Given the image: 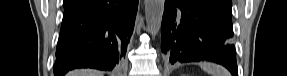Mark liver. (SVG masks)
I'll use <instances>...</instances> for the list:
<instances>
[{"label":"liver","instance_id":"obj_1","mask_svg":"<svg viewBox=\"0 0 287 76\" xmlns=\"http://www.w3.org/2000/svg\"><path fill=\"white\" fill-rule=\"evenodd\" d=\"M70 76H103V73L97 70L82 69L71 72Z\"/></svg>","mask_w":287,"mask_h":76}]
</instances>
